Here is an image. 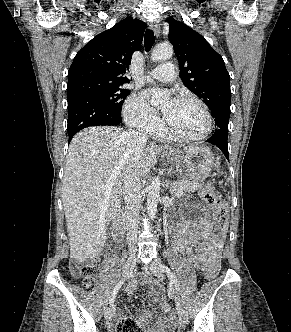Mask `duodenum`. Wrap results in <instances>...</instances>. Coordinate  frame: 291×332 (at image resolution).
<instances>
[{"label": "duodenum", "mask_w": 291, "mask_h": 332, "mask_svg": "<svg viewBox=\"0 0 291 332\" xmlns=\"http://www.w3.org/2000/svg\"><path fill=\"white\" fill-rule=\"evenodd\" d=\"M112 235L113 237L121 242L124 239V233H125V224H124V214H119L113 224H112Z\"/></svg>", "instance_id": "obj_1"}]
</instances>
